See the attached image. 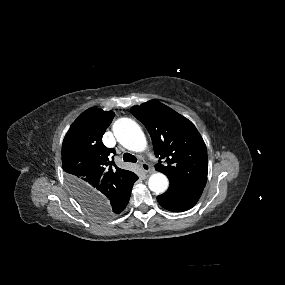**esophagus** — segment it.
<instances>
[{
	"mask_svg": "<svg viewBox=\"0 0 285 285\" xmlns=\"http://www.w3.org/2000/svg\"><path fill=\"white\" fill-rule=\"evenodd\" d=\"M140 168L142 169L143 172L145 173H150L152 170H151V167L149 166V164H147L146 162H142L140 163Z\"/></svg>",
	"mask_w": 285,
	"mask_h": 285,
	"instance_id": "obj_1",
	"label": "esophagus"
}]
</instances>
